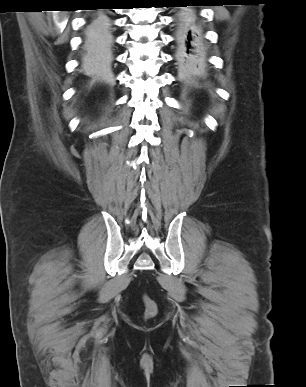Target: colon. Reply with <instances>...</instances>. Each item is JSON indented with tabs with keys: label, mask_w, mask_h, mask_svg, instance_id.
<instances>
[{
	"label": "colon",
	"mask_w": 306,
	"mask_h": 387,
	"mask_svg": "<svg viewBox=\"0 0 306 387\" xmlns=\"http://www.w3.org/2000/svg\"><path fill=\"white\" fill-rule=\"evenodd\" d=\"M143 303L145 306L144 316L146 318H152L157 313L156 303L147 295L143 296Z\"/></svg>",
	"instance_id": "5ec220e1"
}]
</instances>
